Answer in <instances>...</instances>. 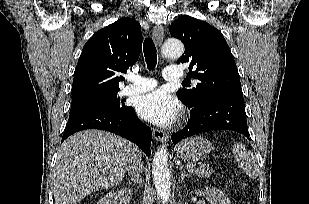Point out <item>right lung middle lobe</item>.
Segmentation results:
<instances>
[{"label":"right lung middle lobe","instance_id":"1","mask_svg":"<svg viewBox=\"0 0 309 204\" xmlns=\"http://www.w3.org/2000/svg\"><path fill=\"white\" fill-rule=\"evenodd\" d=\"M117 95L118 92L71 104L70 114L87 110H105L114 113H123L128 107L122 104L123 101Z\"/></svg>","mask_w":309,"mask_h":204}]
</instances>
